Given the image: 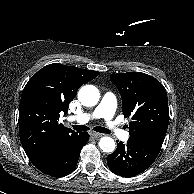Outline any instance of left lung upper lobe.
Instances as JSON below:
<instances>
[{"mask_svg": "<svg viewBox=\"0 0 194 194\" xmlns=\"http://www.w3.org/2000/svg\"><path fill=\"white\" fill-rule=\"evenodd\" d=\"M122 97V111L133 120L130 137L161 148L169 123L167 93L154 77L141 72L112 74Z\"/></svg>", "mask_w": 194, "mask_h": 194, "instance_id": "left-lung-upper-lobe-1", "label": "left lung upper lobe"}]
</instances>
